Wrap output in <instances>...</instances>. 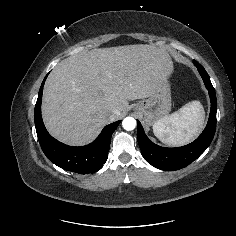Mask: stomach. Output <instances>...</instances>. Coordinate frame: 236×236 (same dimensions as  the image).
<instances>
[{"label":"stomach","instance_id":"obj_1","mask_svg":"<svg viewBox=\"0 0 236 236\" xmlns=\"http://www.w3.org/2000/svg\"><path fill=\"white\" fill-rule=\"evenodd\" d=\"M134 110L143 116L148 125H154L158 120L166 117L171 110V89L168 78L163 80L149 98L138 102Z\"/></svg>","mask_w":236,"mask_h":236}]
</instances>
